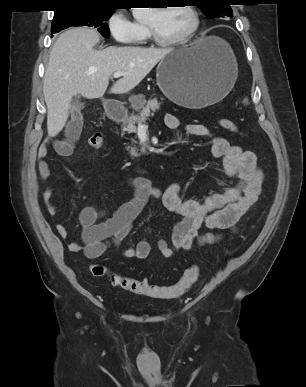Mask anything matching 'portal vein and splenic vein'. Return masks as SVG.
<instances>
[{"instance_id":"obj_1","label":"portal vein and splenic vein","mask_w":306,"mask_h":387,"mask_svg":"<svg viewBox=\"0 0 306 387\" xmlns=\"http://www.w3.org/2000/svg\"><path fill=\"white\" fill-rule=\"evenodd\" d=\"M124 75H125V73L118 71V72H115V73L113 74V77H114V78H119V77L124 76ZM140 127H143V125L140 124Z\"/></svg>"}]
</instances>
